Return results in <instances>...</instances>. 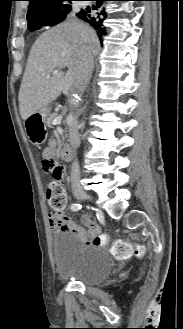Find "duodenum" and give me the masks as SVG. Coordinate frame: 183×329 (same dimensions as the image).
Masks as SVG:
<instances>
[{
  "mask_svg": "<svg viewBox=\"0 0 183 329\" xmlns=\"http://www.w3.org/2000/svg\"><path fill=\"white\" fill-rule=\"evenodd\" d=\"M73 149L71 147H64L61 155L64 161H70L73 158Z\"/></svg>",
  "mask_w": 183,
  "mask_h": 329,
  "instance_id": "1",
  "label": "duodenum"
}]
</instances>
